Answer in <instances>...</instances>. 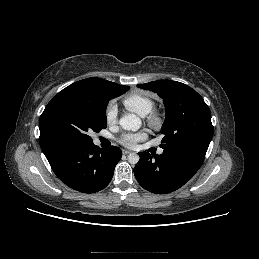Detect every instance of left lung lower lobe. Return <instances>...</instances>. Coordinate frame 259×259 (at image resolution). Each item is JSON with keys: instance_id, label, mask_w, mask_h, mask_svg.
I'll return each instance as SVG.
<instances>
[{"instance_id": "1", "label": "left lung lower lobe", "mask_w": 259, "mask_h": 259, "mask_svg": "<svg viewBox=\"0 0 259 259\" xmlns=\"http://www.w3.org/2000/svg\"><path fill=\"white\" fill-rule=\"evenodd\" d=\"M205 154V151L192 147L167 148L161 155L140 152L134 174L144 189L156 194L170 193L195 175Z\"/></svg>"}]
</instances>
